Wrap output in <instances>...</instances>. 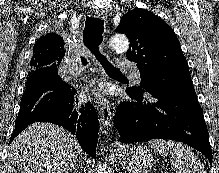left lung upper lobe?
<instances>
[{
    "mask_svg": "<svg viewBox=\"0 0 219 173\" xmlns=\"http://www.w3.org/2000/svg\"><path fill=\"white\" fill-rule=\"evenodd\" d=\"M116 32L128 36L130 46L126 56L137 63L140 71L143 89L131 87L134 92H162L192 86L177 36L162 19L145 9H133L121 18Z\"/></svg>",
    "mask_w": 219,
    "mask_h": 173,
    "instance_id": "1",
    "label": "left lung upper lobe"
}]
</instances>
